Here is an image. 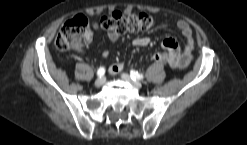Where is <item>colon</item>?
Segmentation results:
<instances>
[{
	"label": "colon",
	"mask_w": 247,
	"mask_h": 145,
	"mask_svg": "<svg viewBox=\"0 0 247 145\" xmlns=\"http://www.w3.org/2000/svg\"><path fill=\"white\" fill-rule=\"evenodd\" d=\"M153 23V17L146 13L123 14L114 12L102 17L95 24V27L107 32L123 34L149 30ZM92 35L87 18L83 15H76L61 26L55 45L61 51L79 49L91 41Z\"/></svg>",
	"instance_id": "1"
}]
</instances>
